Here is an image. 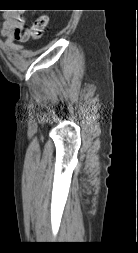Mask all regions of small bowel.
<instances>
[{"instance_id":"obj_1","label":"small bowel","mask_w":138,"mask_h":253,"mask_svg":"<svg viewBox=\"0 0 138 253\" xmlns=\"http://www.w3.org/2000/svg\"><path fill=\"white\" fill-rule=\"evenodd\" d=\"M1 35L5 39L6 46L11 50L20 51L25 48V43L29 40V29L25 28L24 14L17 11H6L1 29Z\"/></svg>"}]
</instances>
